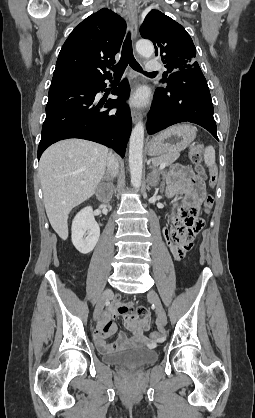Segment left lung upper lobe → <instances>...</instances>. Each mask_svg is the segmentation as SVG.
Masks as SVG:
<instances>
[{
	"label": "left lung upper lobe",
	"instance_id": "1",
	"mask_svg": "<svg viewBox=\"0 0 255 418\" xmlns=\"http://www.w3.org/2000/svg\"><path fill=\"white\" fill-rule=\"evenodd\" d=\"M143 38L153 42L155 55L161 57L166 72L161 83L166 85L173 72L198 67L196 48L190 35L176 21L158 10H151L140 28Z\"/></svg>",
	"mask_w": 255,
	"mask_h": 418
}]
</instances>
